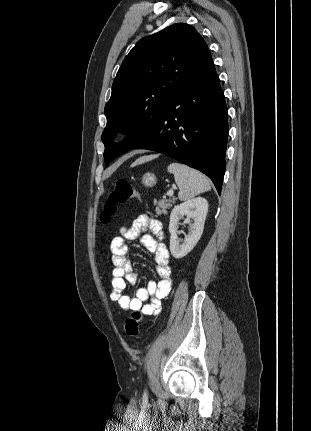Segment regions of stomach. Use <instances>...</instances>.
<instances>
[{"label":"stomach","mask_w":311,"mask_h":431,"mask_svg":"<svg viewBox=\"0 0 311 431\" xmlns=\"http://www.w3.org/2000/svg\"><path fill=\"white\" fill-rule=\"evenodd\" d=\"M141 184H143L144 188H154L157 184L155 174H152V172H146V174H143Z\"/></svg>","instance_id":"1"}]
</instances>
